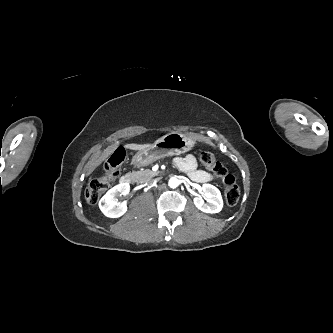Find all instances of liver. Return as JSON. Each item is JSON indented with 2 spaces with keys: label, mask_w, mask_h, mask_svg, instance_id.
Instances as JSON below:
<instances>
[{
  "label": "liver",
  "mask_w": 333,
  "mask_h": 333,
  "mask_svg": "<svg viewBox=\"0 0 333 333\" xmlns=\"http://www.w3.org/2000/svg\"><path fill=\"white\" fill-rule=\"evenodd\" d=\"M150 146H151V144H135V143H131V144H126L125 148L131 149V150L141 151V150H144V149H146V148H148Z\"/></svg>",
  "instance_id": "obj_1"
}]
</instances>
